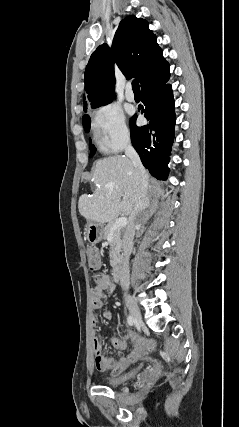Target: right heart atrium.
I'll use <instances>...</instances> for the list:
<instances>
[{
  "label": "right heart atrium",
  "instance_id": "1",
  "mask_svg": "<svg viewBox=\"0 0 239 427\" xmlns=\"http://www.w3.org/2000/svg\"><path fill=\"white\" fill-rule=\"evenodd\" d=\"M93 127L102 148L108 152H119L127 147L131 141V133L124 114L112 104L97 111Z\"/></svg>",
  "mask_w": 239,
  "mask_h": 427
}]
</instances>
